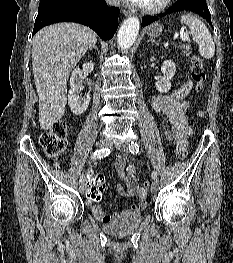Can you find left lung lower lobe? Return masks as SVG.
<instances>
[{
	"instance_id": "1",
	"label": "left lung lower lobe",
	"mask_w": 233,
	"mask_h": 263,
	"mask_svg": "<svg viewBox=\"0 0 233 263\" xmlns=\"http://www.w3.org/2000/svg\"><path fill=\"white\" fill-rule=\"evenodd\" d=\"M193 11L201 15L203 18H205L209 24L212 26L211 23V15L209 12V9L206 4V0H178L172 7L167 9L165 13L160 14L159 16H163L166 14H170L173 12H178V11ZM158 19L157 16H146L143 17L142 21V27L147 26L148 24L156 21Z\"/></svg>"
}]
</instances>
